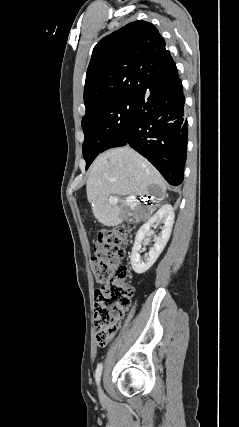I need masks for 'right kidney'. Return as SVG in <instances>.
Returning <instances> with one entry per match:
<instances>
[{"mask_svg": "<svg viewBox=\"0 0 239 427\" xmlns=\"http://www.w3.org/2000/svg\"><path fill=\"white\" fill-rule=\"evenodd\" d=\"M174 218L175 214L172 206L170 204H166L162 206L138 230L130 256L132 268L137 274L145 273L156 262L157 258L162 253L170 238ZM156 222L164 224L161 235L154 239V246L150 249L148 256L143 260L140 256V250L142 245L148 243V239L146 237L151 235L150 227Z\"/></svg>", "mask_w": 239, "mask_h": 427, "instance_id": "right-kidney-1", "label": "right kidney"}]
</instances>
